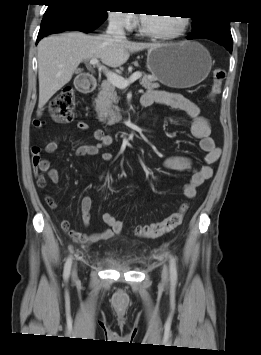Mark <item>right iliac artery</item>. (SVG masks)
<instances>
[{
  "label": "right iliac artery",
  "instance_id": "obj_1",
  "mask_svg": "<svg viewBox=\"0 0 261 355\" xmlns=\"http://www.w3.org/2000/svg\"><path fill=\"white\" fill-rule=\"evenodd\" d=\"M71 265H72V258L68 257V259L66 260L65 266H64V274H63V276H64L65 280H67L69 278Z\"/></svg>",
  "mask_w": 261,
  "mask_h": 355
}]
</instances>
